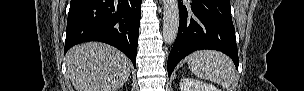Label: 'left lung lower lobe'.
I'll return each mask as SVG.
<instances>
[{
  "label": "left lung lower lobe",
  "mask_w": 304,
  "mask_h": 91,
  "mask_svg": "<svg viewBox=\"0 0 304 91\" xmlns=\"http://www.w3.org/2000/svg\"><path fill=\"white\" fill-rule=\"evenodd\" d=\"M178 5L179 29L168 58V75L172 74L181 59L201 49H213L227 54L238 69L230 0H179Z\"/></svg>",
  "instance_id": "left-lung-lower-lobe-1"
}]
</instances>
